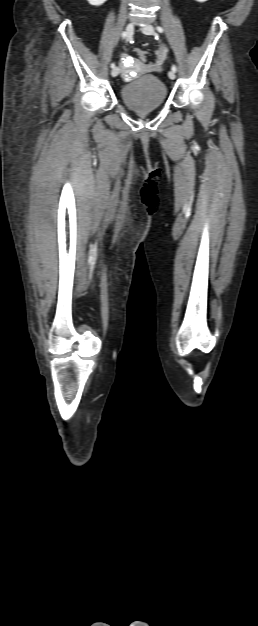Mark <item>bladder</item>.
<instances>
[{
  "instance_id": "1",
  "label": "bladder",
  "mask_w": 258,
  "mask_h": 626,
  "mask_svg": "<svg viewBox=\"0 0 258 626\" xmlns=\"http://www.w3.org/2000/svg\"><path fill=\"white\" fill-rule=\"evenodd\" d=\"M120 96L129 109L135 112H149L164 104L167 89L156 76L144 75L123 85Z\"/></svg>"
}]
</instances>
